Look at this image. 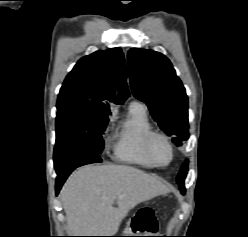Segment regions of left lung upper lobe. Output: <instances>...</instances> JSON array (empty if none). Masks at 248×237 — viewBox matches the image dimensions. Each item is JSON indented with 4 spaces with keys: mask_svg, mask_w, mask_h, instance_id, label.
Masks as SVG:
<instances>
[{
    "mask_svg": "<svg viewBox=\"0 0 248 237\" xmlns=\"http://www.w3.org/2000/svg\"><path fill=\"white\" fill-rule=\"evenodd\" d=\"M131 88L144 101L154 120L176 145L189 137L188 98L172 64L153 50L132 48L128 52ZM187 171H180L178 183L184 184Z\"/></svg>",
    "mask_w": 248,
    "mask_h": 237,
    "instance_id": "left-lung-upper-lobe-1",
    "label": "left lung upper lobe"
}]
</instances>
